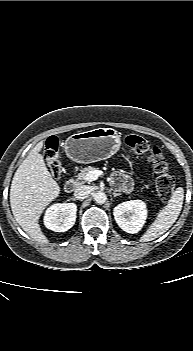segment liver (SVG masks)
Masks as SVG:
<instances>
[{"mask_svg":"<svg viewBox=\"0 0 193 351\" xmlns=\"http://www.w3.org/2000/svg\"><path fill=\"white\" fill-rule=\"evenodd\" d=\"M40 141L16 170L10 188V205L15 220L35 241L47 243L39 218L46 206L58 197L60 187L40 154Z\"/></svg>","mask_w":193,"mask_h":351,"instance_id":"obj_1","label":"liver"}]
</instances>
